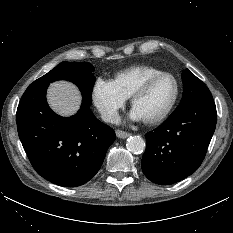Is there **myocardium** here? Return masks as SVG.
I'll list each match as a JSON object with an SVG mask.
<instances>
[{"label": "myocardium", "mask_w": 233, "mask_h": 233, "mask_svg": "<svg viewBox=\"0 0 233 233\" xmlns=\"http://www.w3.org/2000/svg\"><path fill=\"white\" fill-rule=\"evenodd\" d=\"M164 77H169L174 81L175 92H174L173 98L168 104V106L166 107V109L160 115L154 118H150V119H142L143 123H145L146 125L160 124L164 120H166L168 116L171 114L180 95V84H179L178 79L173 74L168 73V72H161V73L152 75L148 77L146 80H144L142 84L130 96V106L133 109L135 102L140 97H142L157 80L164 78Z\"/></svg>", "instance_id": "1"}]
</instances>
